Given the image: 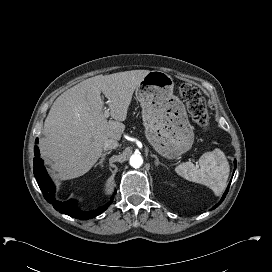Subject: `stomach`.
I'll list each match as a JSON object with an SVG mask.
<instances>
[{
    "label": "stomach",
    "instance_id": "1",
    "mask_svg": "<svg viewBox=\"0 0 272 272\" xmlns=\"http://www.w3.org/2000/svg\"><path fill=\"white\" fill-rule=\"evenodd\" d=\"M174 81L166 72L150 71L137 86L135 95L142 107L147 140L157 153L175 159L194 142L182 101L173 94Z\"/></svg>",
    "mask_w": 272,
    "mask_h": 272
}]
</instances>
